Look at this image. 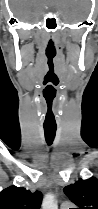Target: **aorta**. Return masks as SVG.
Instances as JSON below:
<instances>
[{
    "mask_svg": "<svg viewBox=\"0 0 98 209\" xmlns=\"http://www.w3.org/2000/svg\"><path fill=\"white\" fill-rule=\"evenodd\" d=\"M42 209H58V205L53 194L48 193L44 196Z\"/></svg>",
    "mask_w": 98,
    "mask_h": 209,
    "instance_id": "aorta-1",
    "label": "aorta"
}]
</instances>
